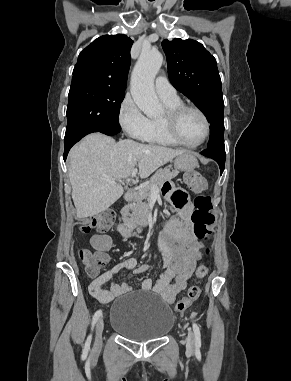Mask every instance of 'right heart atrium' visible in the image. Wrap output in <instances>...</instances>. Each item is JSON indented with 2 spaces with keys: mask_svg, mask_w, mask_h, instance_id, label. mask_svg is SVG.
<instances>
[{
  "mask_svg": "<svg viewBox=\"0 0 291 381\" xmlns=\"http://www.w3.org/2000/svg\"><path fill=\"white\" fill-rule=\"evenodd\" d=\"M148 118L130 95H126L118 108V122L125 133L134 139L144 137L148 129Z\"/></svg>",
  "mask_w": 291,
  "mask_h": 381,
  "instance_id": "right-heart-atrium-1",
  "label": "right heart atrium"
}]
</instances>
